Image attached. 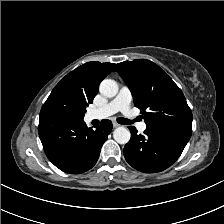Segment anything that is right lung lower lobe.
<instances>
[{
	"label": "right lung lower lobe",
	"mask_w": 224,
	"mask_h": 224,
	"mask_svg": "<svg viewBox=\"0 0 224 224\" xmlns=\"http://www.w3.org/2000/svg\"><path fill=\"white\" fill-rule=\"evenodd\" d=\"M95 128H88L83 120L40 114L38 132L48 159L60 170L77 174L95 165L112 123L103 120Z\"/></svg>",
	"instance_id": "right-lung-lower-lobe-1"
}]
</instances>
